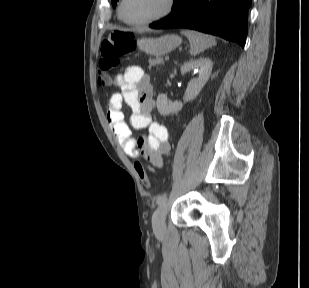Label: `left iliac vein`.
Returning a JSON list of instances; mask_svg holds the SVG:
<instances>
[{"instance_id":"1","label":"left iliac vein","mask_w":309,"mask_h":288,"mask_svg":"<svg viewBox=\"0 0 309 288\" xmlns=\"http://www.w3.org/2000/svg\"><path fill=\"white\" fill-rule=\"evenodd\" d=\"M167 203L161 204L154 212L152 218L153 229L158 234H163L166 229V214H167Z\"/></svg>"}]
</instances>
